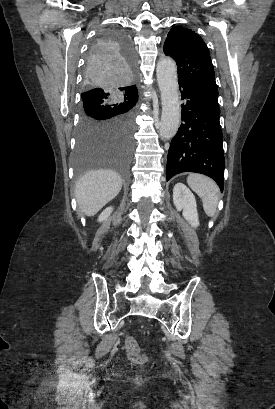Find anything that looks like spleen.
<instances>
[{
  "label": "spleen",
  "mask_w": 275,
  "mask_h": 409,
  "mask_svg": "<svg viewBox=\"0 0 275 409\" xmlns=\"http://www.w3.org/2000/svg\"><path fill=\"white\" fill-rule=\"evenodd\" d=\"M189 186L202 198L203 209L208 217H214L219 202V186L204 174H189Z\"/></svg>",
  "instance_id": "3e777b00"
}]
</instances>
